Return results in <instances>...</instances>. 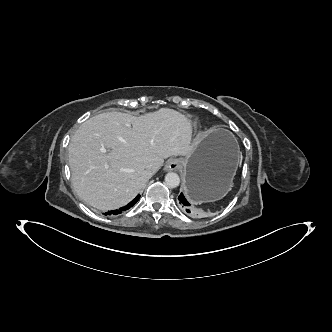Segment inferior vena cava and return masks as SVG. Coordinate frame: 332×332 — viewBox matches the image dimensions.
Masks as SVG:
<instances>
[{
	"instance_id": "inferior-vena-cava-1",
	"label": "inferior vena cava",
	"mask_w": 332,
	"mask_h": 332,
	"mask_svg": "<svg viewBox=\"0 0 332 332\" xmlns=\"http://www.w3.org/2000/svg\"><path fill=\"white\" fill-rule=\"evenodd\" d=\"M148 171L150 174H153L155 169H154V166L152 164H150L148 167H147Z\"/></svg>"
}]
</instances>
